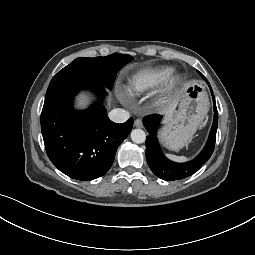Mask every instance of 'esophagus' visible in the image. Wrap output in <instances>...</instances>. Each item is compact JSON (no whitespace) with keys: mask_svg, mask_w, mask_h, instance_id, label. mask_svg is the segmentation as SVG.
Instances as JSON below:
<instances>
[{"mask_svg":"<svg viewBox=\"0 0 255 255\" xmlns=\"http://www.w3.org/2000/svg\"><path fill=\"white\" fill-rule=\"evenodd\" d=\"M142 121L140 120V119H136L135 121H134V126L135 127H138V128H140V127H142Z\"/></svg>","mask_w":255,"mask_h":255,"instance_id":"1","label":"esophagus"}]
</instances>
